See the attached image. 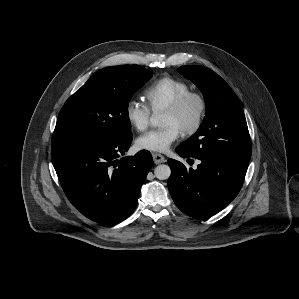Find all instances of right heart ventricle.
Here are the masks:
<instances>
[{
    "mask_svg": "<svg viewBox=\"0 0 299 299\" xmlns=\"http://www.w3.org/2000/svg\"><path fill=\"white\" fill-rule=\"evenodd\" d=\"M188 91L190 86L186 82L173 77H163L145 89L144 97L150 111L157 113L165 110Z\"/></svg>",
    "mask_w": 299,
    "mask_h": 299,
    "instance_id": "e07e8e85",
    "label": "right heart ventricle"
}]
</instances>
